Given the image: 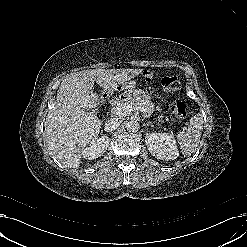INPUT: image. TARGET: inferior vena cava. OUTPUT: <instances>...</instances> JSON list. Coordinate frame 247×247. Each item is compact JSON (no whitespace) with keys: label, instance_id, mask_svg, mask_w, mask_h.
<instances>
[{"label":"inferior vena cava","instance_id":"obj_1","mask_svg":"<svg viewBox=\"0 0 247 247\" xmlns=\"http://www.w3.org/2000/svg\"><path fill=\"white\" fill-rule=\"evenodd\" d=\"M121 124V120L118 118H110L109 120L106 121L104 130L107 132H111L115 129H117Z\"/></svg>","mask_w":247,"mask_h":247}]
</instances>
